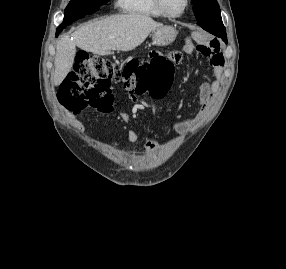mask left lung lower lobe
I'll return each mask as SVG.
<instances>
[{
	"mask_svg": "<svg viewBox=\"0 0 286 269\" xmlns=\"http://www.w3.org/2000/svg\"><path fill=\"white\" fill-rule=\"evenodd\" d=\"M220 37H223V41L225 42V43H227V37L226 36H220Z\"/></svg>",
	"mask_w": 286,
	"mask_h": 269,
	"instance_id": "obj_1",
	"label": "left lung lower lobe"
}]
</instances>
